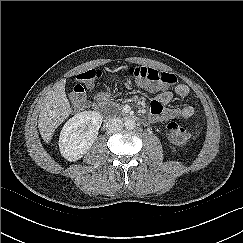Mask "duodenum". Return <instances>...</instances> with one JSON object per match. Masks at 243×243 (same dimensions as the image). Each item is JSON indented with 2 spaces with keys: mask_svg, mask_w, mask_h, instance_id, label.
Wrapping results in <instances>:
<instances>
[{
  "mask_svg": "<svg viewBox=\"0 0 243 243\" xmlns=\"http://www.w3.org/2000/svg\"><path fill=\"white\" fill-rule=\"evenodd\" d=\"M99 103H103V101L102 100H100V102ZM96 111L97 112H99V110L98 109H96ZM130 118H132V119H137V117L136 116H130Z\"/></svg>",
  "mask_w": 243,
  "mask_h": 243,
  "instance_id": "obj_1",
  "label": "duodenum"
}]
</instances>
